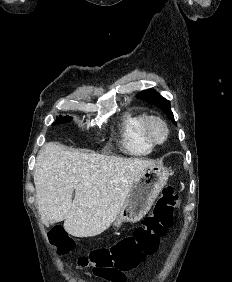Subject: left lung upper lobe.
I'll use <instances>...</instances> for the list:
<instances>
[{
    "instance_id": "left-lung-upper-lobe-1",
    "label": "left lung upper lobe",
    "mask_w": 232,
    "mask_h": 282,
    "mask_svg": "<svg viewBox=\"0 0 232 282\" xmlns=\"http://www.w3.org/2000/svg\"><path fill=\"white\" fill-rule=\"evenodd\" d=\"M139 99H144L150 104L160 107L168 118L174 123V116L171 111L170 101L161 97L154 89L144 90L136 95Z\"/></svg>"
}]
</instances>
